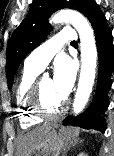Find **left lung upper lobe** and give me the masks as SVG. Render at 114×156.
<instances>
[{
    "label": "left lung upper lobe",
    "instance_id": "1",
    "mask_svg": "<svg viewBox=\"0 0 114 156\" xmlns=\"http://www.w3.org/2000/svg\"><path fill=\"white\" fill-rule=\"evenodd\" d=\"M95 3L93 0H34L28 15L13 32L8 42L6 75L9 89L13 85L14 75L20 63L49 34L50 15L59 9L71 8L88 17Z\"/></svg>",
    "mask_w": 114,
    "mask_h": 156
}]
</instances>
